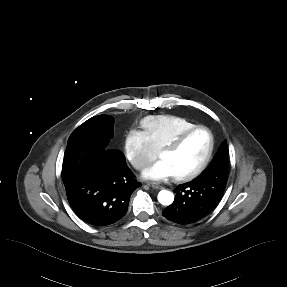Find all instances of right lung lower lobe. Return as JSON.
<instances>
[{
	"mask_svg": "<svg viewBox=\"0 0 287 287\" xmlns=\"http://www.w3.org/2000/svg\"><path fill=\"white\" fill-rule=\"evenodd\" d=\"M97 138L67 143L62 179L75 214L92 226H106L127 212L133 191L141 186L122 152Z\"/></svg>",
	"mask_w": 287,
	"mask_h": 287,
	"instance_id": "obj_1",
	"label": "right lung lower lobe"
}]
</instances>
